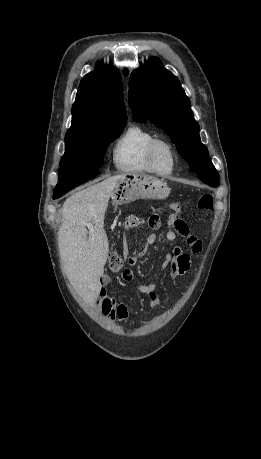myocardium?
<instances>
[{"label":"myocardium","mask_w":261,"mask_h":459,"mask_svg":"<svg viewBox=\"0 0 261 459\" xmlns=\"http://www.w3.org/2000/svg\"><path fill=\"white\" fill-rule=\"evenodd\" d=\"M160 146L166 147L172 157V167L169 172H162L156 166V152ZM148 161L153 172L159 176H169L174 173L178 164V155L174 145L165 138L157 137L149 145L148 148Z\"/></svg>","instance_id":"obj_1"}]
</instances>
